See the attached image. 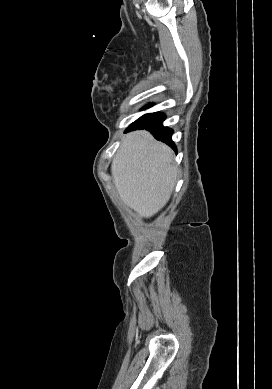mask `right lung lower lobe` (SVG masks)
Returning a JSON list of instances; mask_svg holds the SVG:
<instances>
[{
    "label": "right lung lower lobe",
    "instance_id": "right-lung-lower-lobe-1",
    "mask_svg": "<svg viewBox=\"0 0 272 389\" xmlns=\"http://www.w3.org/2000/svg\"><path fill=\"white\" fill-rule=\"evenodd\" d=\"M151 105H148L145 108H148ZM142 109V110H143ZM165 119V115L159 112L145 114L135 122H133L126 130L132 131L137 129H146L149 130L153 136L162 142H165L169 146H171L174 150H176V146L174 145L171 135L173 133L172 129L168 127H164L162 125L163 120Z\"/></svg>",
    "mask_w": 272,
    "mask_h": 389
}]
</instances>
